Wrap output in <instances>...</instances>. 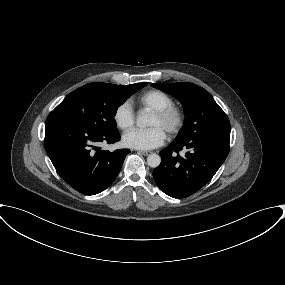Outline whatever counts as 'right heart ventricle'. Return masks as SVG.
<instances>
[{"label":"right heart ventricle","instance_id":"right-heart-ventricle-1","mask_svg":"<svg viewBox=\"0 0 285 285\" xmlns=\"http://www.w3.org/2000/svg\"><path fill=\"white\" fill-rule=\"evenodd\" d=\"M137 101L140 106L152 111L165 108L174 103L173 98L169 94L157 89L148 90L142 93Z\"/></svg>","mask_w":285,"mask_h":285}]
</instances>
